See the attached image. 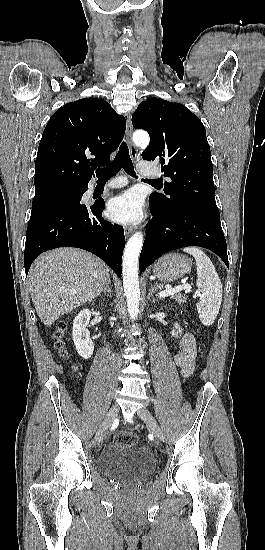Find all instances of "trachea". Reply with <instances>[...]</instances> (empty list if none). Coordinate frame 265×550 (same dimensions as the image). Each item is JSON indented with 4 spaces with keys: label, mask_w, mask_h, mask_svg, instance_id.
<instances>
[{
    "label": "trachea",
    "mask_w": 265,
    "mask_h": 550,
    "mask_svg": "<svg viewBox=\"0 0 265 550\" xmlns=\"http://www.w3.org/2000/svg\"><path fill=\"white\" fill-rule=\"evenodd\" d=\"M121 168H123L127 174L137 178L129 155V149L125 142H122L114 161L104 168L97 169L96 176L98 180H109L111 177L116 175V173H118ZM144 181L153 184L159 182L157 180L147 179H145Z\"/></svg>",
    "instance_id": "trachea-1"
}]
</instances>
